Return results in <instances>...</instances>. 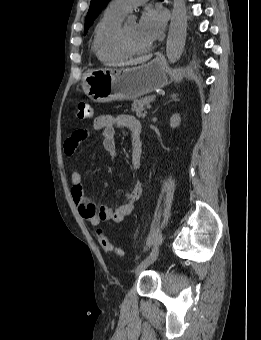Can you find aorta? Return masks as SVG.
I'll use <instances>...</instances> for the list:
<instances>
[{
  "label": "aorta",
  "instance_id": "762f6f07",
  "mask_svg": "<svg viewBox=\"0 0 261 340\" xmlns=\"http://www.w3.org/2000/svg\"><path fill=\"white\" fill-rule=\"evenodd\" d=\"M187 11L185 0H174L168 31L166 54L170 63L180 59L187 36Z\"/></svg>",
  "mask_w": 261,
  "mask_h": 340
}]
</instances>
